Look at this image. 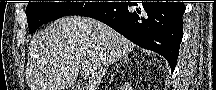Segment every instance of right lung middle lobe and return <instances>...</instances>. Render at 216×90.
Wrapping results in <instances>:
<instances>
[{"instance_id": "right-lung-middle-lobe-1", "label": "right lung middle lobe", "mask_w": 216, "mask_h": 90, "mask_svg": "<svg viewBox=\"0 0 216 90\" xmlns=\"http://www.w3.org/2000/svg\"><path fill=\"white\" fill-rule=\"evenodd\" d=\"M104 3L84 2H29L26 8L29 33L36 31L40 25L64 16L80 15Z\"/></svg>"}]
</instances>
